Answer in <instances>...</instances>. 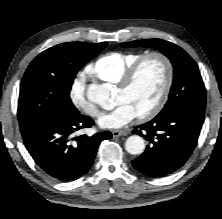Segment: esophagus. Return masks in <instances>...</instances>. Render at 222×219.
<instances>
[{
  "label": "esophagus",
  "instance_id": "1",
  "mask_svg": "<svg viewBox=\"0 0 222 219\" xmlns=\"http://www.w3.org/2000/svg\"><path fill=\"white\" fill-rule=\"evenodd\" d=\"M128 134H129L128 130H114V131H112L113 137L126 136Z\"/></svg>",
  "mask_w": 222,
  "mask_h": 219
}]
</instances>
